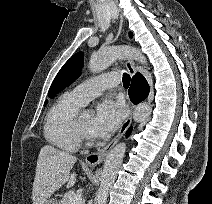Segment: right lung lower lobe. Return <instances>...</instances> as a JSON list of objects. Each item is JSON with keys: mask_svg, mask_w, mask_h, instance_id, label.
Listing matches in <instances>:
<instances>
[{"mask_svg": "<svg viewBox=\"0 0 212 204\" xmlns=\"http://www.w3.org/2000/svg\"><path fill=\"white\" fill-rule=\"evenodd\" d=\"M149 94V85L146 79L137 73L132 78L131 86L129 88V96L134 104L143 101Z\"/></svg>", "mask_w": 212, "mask_h": 204, "instance_id": "98d812e1", "label": "right lung lower lobe"}]
</instances>
